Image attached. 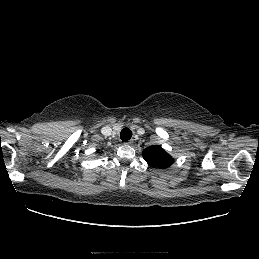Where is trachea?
<instances>
[{
  "instance_id": "trachea-1",
  "label": "trachea",
  "mask_w": 259,
  "mask_h": 259,
  "mask_svg": "<svg viewBox=\"0 0 259 259\" xmlns=\"http://www.w3.org/2000/svg\"><path fill=\"white\" fill-rule=\"evenodd\" d=\"M131 137H132V131L129 128L122 129V131L120 133V138L122 141L126 142V141L130 140Z\"/></svg>"
}]
</instances>
